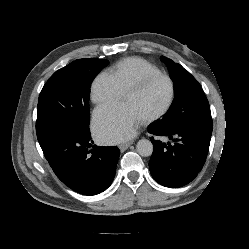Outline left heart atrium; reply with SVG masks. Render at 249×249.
I'll use <instances>...</instances> for the list:
<instances>
[{
    "label": "left heart atrium",
    "mask_w": 249,
    "mask_h": 249,
    "mask_svg": "<svg viewBox=\"0 0 249 249\" xmlns=\"http://www.w3.org/2000/svg\"><path fill=\"white\" fill-rule=\"evenodd\" d=\"M141 118L126 103H113L95 110L93 131L104 143L114 144L132 137Z\"/></svg>",
    "instance_id": "1"
}]
</instances>
